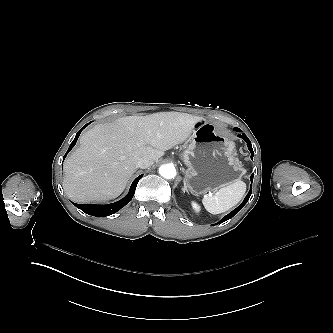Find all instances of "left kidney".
I'll return each mask as SVG.
<instances>
[{
  "instance_id": "left-kidney-1",
  "label": "left kidney",
  "mask_w": 333,
  "mask_h": 333,
  "mask_svg": "<svg viewBox=\"0 0 333 333\" xmlns=\"http://www.w3.org/2000/svg\"><path fill=\"white\" fill-rule=\"evenodd\" d=\"M191 206L196 213H199L201 211L200 205L197 204L195 201L191 202Z\"/></svg>"
}]
</instances>
